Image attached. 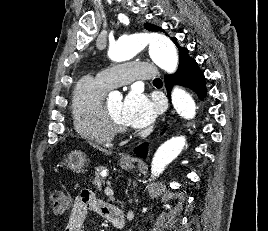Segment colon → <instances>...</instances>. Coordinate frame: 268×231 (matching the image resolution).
Wrapping results in <instances>:
<instances>
[{"label": "colon", "mask_w": 268, "mask_h": 231, "mask_svg": "<svg viewBox=\"0 0 268 231\" xmlns=\"http://www.w3.org/2000/svg\"><path fill=\"white\" fill-rule=\"evenodd\" d=\"M52 201L54 211L57 213L65 212L70 208V200L68 196L60 190L52 193Z\"/></svg>", "instance_id": "5ec220e1"}]
</instances>
